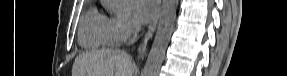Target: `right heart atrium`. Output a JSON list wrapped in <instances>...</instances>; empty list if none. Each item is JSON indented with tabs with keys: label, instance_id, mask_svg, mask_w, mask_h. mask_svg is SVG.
<instances>
[{
	"label": "right heart atrium",
	"instance_id": "d8ad5b80",
	"mask_svg": "<svg viewBox=\"0 0 287 76\" xmlns=\"http://www.w3.org/2000/svg\"><path fill=\"white\" fill-rule=\"evenodd\" d=\"M136 29V23L129 17L117 16L110 20L111 37L115 43L126 41Z\"/></svg>",
	"mask_w": 287,
	"mask_h": 76
}]
</instances>
